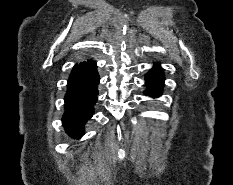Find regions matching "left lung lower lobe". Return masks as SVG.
Instances as JSON below:
<instances>
[{
	"mask_svg": "<svg viewBox=\"0 0 233 185\" xmlns=\"http://www.w3.org/2000/svg\"><path fill=\"white\" fill-rule=\"evenodd\" d=\"M164 72L163 69L157 64L146 74V84L149 88L145 94L151 97H159L162 95V88L164 85Z\"/></svg>",
	"mask_w": 233,
	"mask_h": 185,
	"instance_id": "left-lung-lower-lobe-1",
	"label": "left lung lower lobe"
}]
</instances>
